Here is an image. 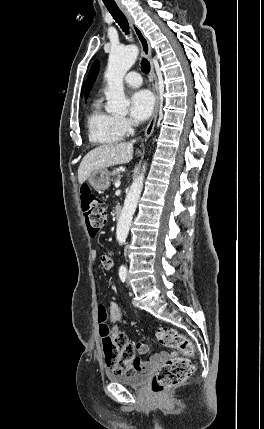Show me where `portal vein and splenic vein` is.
I'll return each instance as SVG.
<instances>
[{"instance_id": "portal-vein-and-splenic-vein-1", "label": "portal vein and splenic vein", "mask_w": 264, "mask_h": 429, "mask_svg": "<svg viewBox=\"0 0 264 429\" xmlns=\"http://www.w3.org/2000/svg\"><path fill=\"white\" fill-rule=\"evenodd\" d=\"M120 184H121V182L118 180V181L115 183V187H116V188H118V187L120 186Z\"/></svg>"}]
</instances>
